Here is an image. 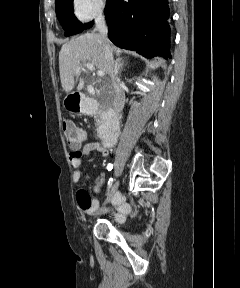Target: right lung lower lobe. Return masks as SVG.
Here are the masks:
<instances>
[{
    "label": "right lung lower lobe",
    "instance_id": "98d812e1",
    "mask_svg": "<svg viewBox=\"0 0 240 288\" xmlns=\"http://www.w3.org/2000/svg\"><path fill=\"white\" fill-rule=\"evenodd\" d=\"M104 12L108 37L116 46L145 57L171 58L167 0H107Z\"/></svg>",
    "mask_w": 240,
    "mask_h": 288
}]
</instances>
